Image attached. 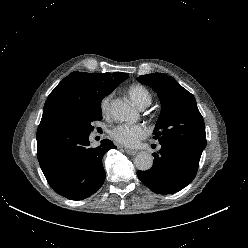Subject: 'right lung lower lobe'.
Listing matches in <instances>:
<instances>
[{"instance_id":"1","label":"right lung lower lobe","mask_w":248,"mask_h":248,"mask_svg":"<svg viewBox=\"0 0 248 248\" xmlns=\"http://www.w3.org/2000/svg\"><path fill=\"white\" fill-rule=\"evenodd\" d=\"M90 133L59 127L37 138V157L49 185L71 200H83L94 194L104 183L102 157L116 148L104 139L92 148Z\"/></svg>"}]
</instances>
